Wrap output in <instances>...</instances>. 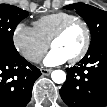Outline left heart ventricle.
Listing matches in <instances>:
<instances>
[{
	"label": "left heart ventricle",
	"instance_id": "left-heart-ventricle-1",
	"mask_svg": "<svg viewBox=\"0 0 107 107\" xmlns=\"http://www.w3.org/2000/svg\"><path fill=\"white\" fill-rule=\"evenodd\" d=\"M85 43V30L82 25L74 24L53 44V49L59 50L68 59L74 57Z\"/></svg>",
	"mask_w": 107,
	"mask_h": 107
}]
</instances>
